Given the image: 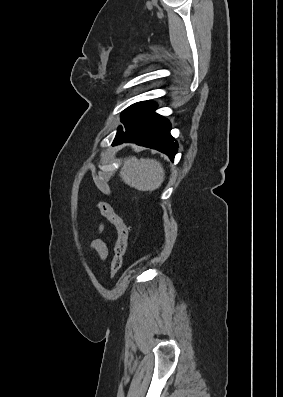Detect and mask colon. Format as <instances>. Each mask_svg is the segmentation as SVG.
Instances as JSON below:
<instances>
[{"label": "colon", "mask_w": 283, "mask_h": 397, "mask_svg": "<svg viewBox=\"0 0 283 397\" xmlns=\"http://www.w3.org/2000/svg\"><path fill=\"white\" fill-rule=\"evenodd\" d=\"M99 209L101 214L111 223L117 232L114 255L109 272L110 277L113 278L119 272L123 264V258L127 249L129 229L108 202L101 201L99 203Z\"/></svg>", "instance_id": "1"}]
</instances>
